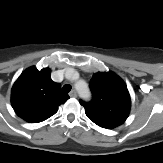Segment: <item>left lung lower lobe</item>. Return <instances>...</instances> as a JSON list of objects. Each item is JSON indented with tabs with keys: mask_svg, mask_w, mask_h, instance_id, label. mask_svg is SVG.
Returning a JSON list of instances; mask_svg holds the SVG:
<instances>
[{
	"mask_svg": "<svg viewBox=\"0 0 163 163\" xmlns=\"http://www.w3.org/2000/svg\"><path fill=\"white\" fill-rule=\"evenodd\" d=\"M103 128H106V129H112V128H109V127H103Z\"/></svg>",
	"mask_w": 163,
	"mask_h": 163,
	"instance_id": "left-lung-lower-lobe-1",
	"label": "left lung lower lobe"
}]
</instances>
